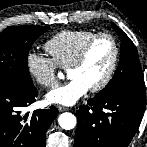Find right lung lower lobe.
<instances>
[{
	"instance_id": "98d812e1",
	"label": "right lung lower lobe",
	"mask_w": 147,
	"mask_h": 147,
	"mask_svg": "<svg viewBox=\"0 0 147 147\" xmlns=\"http://www.w3.org/2000/svg\"><path fill=\"white\" fill-rule=\"evenodd\" d=\"M37 89L0 85V147H45L46 131L57 109L35 110L21 115L19 109L36 100Z\"/></svg>"
}]
</instances>
